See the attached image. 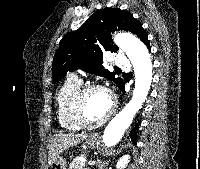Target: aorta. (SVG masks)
Returning a JSON list of instances; mask_svg holds the SVG:
<instances>
[{
  "instance_id": "obj_1",
  "label": "aorta",
  "mask_w": 200,
  "mask_h": 169,
  "mask_svg": "<svg viewBox=\"0 0 200 169\" xmlns=\"http://www.w3.org/2000/svg\"><path fill=\"white\" fill-rule=\"evenodd\" d=\"M114 42L126 53L133 65L135 88L131 100L104 130L103 143L107 147H112L120 141L136 112L142 108L152 83V62L144 43L136 36L127 33L117 34Z\"/></svg>"
}]
</instances>
